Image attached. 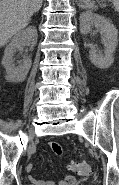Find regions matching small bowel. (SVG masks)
Masks as SVG:
<instances>
[{
  "instance_id": "small-bowel-1",
  "label": "small bowel",
  "mask_w": 119,
  "mask_h": 185,
  "mask_svg": "<svg viewBox=\"0 0 119 185\" xmlns=\"http://www.w3.org/2000/svg\"><path fill=\"white\" fill-rule=\"evenodd\" d=\"M50 147L52 148L53 152L56 155H61L62 154V148L61 146L56 143V142H50L49 143ZM33 169V165L29 164L27 166V171H31ZM30 181L32 183V185H55L54 182L52 181H46L43 179H38L35 178L33 176L30 177ZM75 183V179L72 176H66L65 179L63 181H61L58 185H73Z\"/></svg>"
}]
</instances>
